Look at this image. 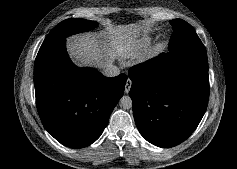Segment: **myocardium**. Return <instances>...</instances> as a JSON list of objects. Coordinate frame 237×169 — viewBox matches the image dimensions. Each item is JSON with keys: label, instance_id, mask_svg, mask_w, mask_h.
Masks as SVG:
<instances>
[{"label": "myocardium", "instance_id": "1", "mask_svg": "<svg viewBox=\"0 0 237 169\" xmlns=\"http://www.w3.org/2000/svg\"><path fill=\"white\" fill-rule=\"evenodd\" d=\"M167 47V42L164 40L158 41L154 46H152L147 53L144 55L143 59H150L158 56Z\"/></svg>", "mask_w": 237, "mask_h": 169}]
</instances>
